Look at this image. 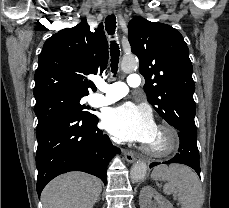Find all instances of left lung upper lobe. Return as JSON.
Wrapping results in <instances>:
<instances>
[{
	"label": "left lung upper lobe",
	"mask_w": 229,
	"mask_h": 208,
	"mask_svg": "<svg viewBox=\"0 0 229 208\" xmlns=\"http://www.w3.org/2000/svg\"><path fill=\"white\" fill-rule=\"evenodd\" d=\"M132 52L140 61L148 102L178 132L196 130L195 83L189 49L175 28L142 17L128 24Z\"/></svg>",
	"instance_id": "obj_1"
}]
</instances>
